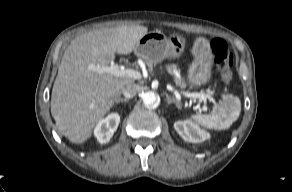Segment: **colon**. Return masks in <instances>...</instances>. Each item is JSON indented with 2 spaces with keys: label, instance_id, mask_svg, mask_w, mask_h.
<instances>
[{
  "label": "colon",
  "instance_id": "obj_1",
  "mask_svg": "<svg viewBox=\"0 0 292 192\" xmlns=\"http://www.w3.org/2000/svg\"><path fill=\"white\" fill-rule=\"evenodd\" d=\"M211 51L214 55L215 65L222 74L223 83L225 86H228L232 80L231 67L233 65V54L222 39L211 41Z\"/></svg>",
  "mask_w": 292,
  "mask_h": 192
}]
</instances>
